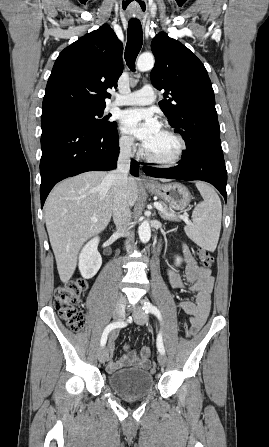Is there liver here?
Segmentation results:
<instances>
[{
	"label": "liver",
	"instance_id": "6515ba94",
	"mask_svg": "<svg viewBox=\"0 0 269 447\" xmlns=\"http://www.w3.org/2000/svg\"><path fill=\"white\" fill-rule=\"evenodd\" d=\"M105 172H86L57 184L45 202V222L63 283L72 277L78 251L86 239L103 231L112 216V182ZM169 182V180H161ZM138 198L134 178H128L127 202ZM97 220V222H92Z\"/></svg>",
	"mask_w": 269,
	"mask_h": 447
}]
</instances>
